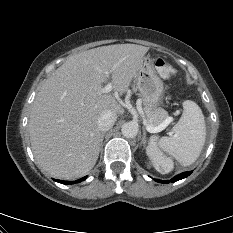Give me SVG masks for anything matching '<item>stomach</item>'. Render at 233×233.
Returning <instances> with one entry per match:
<instances>
[{"label":"stomach","instance_id":"stomach-1","mask_svg":"<svg viewBox=\"0 0 233 233\" xmlns=\"http://www.w3.org/2000/svg\"><path fill=\"white\" fill-rule=\"evenodd\" d=\"M135 83L145 104L153 110L157 109L164 94V84L154 70L150 55L143 57Z\"/></svg>","mask_w":233,"mask_h":233}]
</instances>
